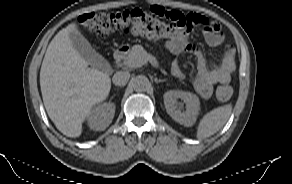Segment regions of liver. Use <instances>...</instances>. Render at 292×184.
Here are the masks:
<instances>
[{"mask_svg":"<svg viewBox=\"0 0 292 184\" xmlns=\"http://www.w3.org/2000/svg\"><path fill=\"white\" fill-rule=\"evenodd\" d=\"M71 32L79 33L75 23L60 30L50 42L40 70V87L48 116L61 133L74 138L81 135L92 107L107 98L111 79L88 67L73 47Z\"/></svg>","mask_w":292,"mask_h":184,"instance_id":"1","label":"liver"}]
</instances>
